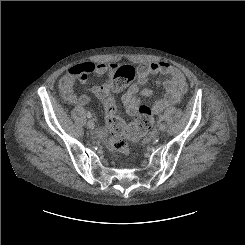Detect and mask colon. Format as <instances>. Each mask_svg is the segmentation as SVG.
Instances as JSON below:
<instances>
[{
    "mask_svg": "<svg viewBox=\"0 0 245 245\" xmlns=\"http://www.w3.org/2000/svg\"><path fill=\"white\" fill-rule=\"evenodd\" d=\"M92 69V66L77 65L73 68L74 73L79 74L78 80L86 78L87 73ZM135 81L134 70L130 67H124L122 72L113 81V91L118 92L127 85ZM106 122L111 131V146L114 150L129 154V144L127 137L136 139L146 133L152 126V116L150 109L142 105L138 109V114L134 123L127 126L117 114V106L113 99L108 98L105 102Z\"/></svg>",
    "mask_w": 245,
    "mask_h": 245,
    "instance_id": "1",
    "label": "colon"
}]
</instances>
